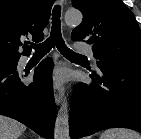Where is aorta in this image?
<instances>
[{
    "instance_id": "762f6f07",
    "label": "aorta",
    "mask_w": 141,
    "mask_h": 139,
    "mask_svg": "<svg viewBox=\"0 0 141 139\" xmlns=\"http://www.w3.org/2000/svg\"><path fill=\"white\" fill-rule=\"evenodd\" d=\"M82 21V14L77 10H69L65 14V22L68 25H78ZM54 139H70L69 135V110L66 100L61 104L54 127Z\"/></svg>"
}]
</instances>
